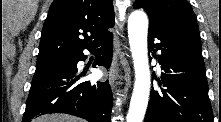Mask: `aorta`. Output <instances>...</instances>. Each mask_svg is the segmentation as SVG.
<instances>
[{"label":"aorta","instance_id":"1","mask_svg":"<svg viewBox=\"0 0 221 122\" xmlns=\"http://www.w3.org/2000/svg\"><path fill=\"white\" fill-rule=\"evenodd\" d=\"M148 17L141 10L128 18V37L135 70V83L126 122H142L146 113L151 76L147 49Z\"/></svg>","mask_w":221,"mask_h":122}]
</instances>
